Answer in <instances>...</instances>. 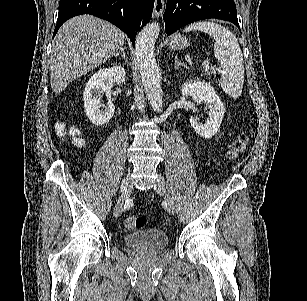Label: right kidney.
<instances>
[{
	"mask_svg": "<svg viewBox=\"0 0 307 301\" xmlns=\"http://www.w3.org/2000/svg\"><path fill=\"white\" fill-rule=\"evenodd\" d=\"M126 72L121 64L110 66V68H100L89 78L83 92L85 114L91 120L92 124L101 126L108 120H111L115 112V104L108 102L102 104L101 96L106 94L111 98V88L113 82H125Z\"/></svg>",
	"mask_w": 307,
	"mask_h": 301,
	"instance_id": "1",
	"label": "right kidney"
}]
</instances>
